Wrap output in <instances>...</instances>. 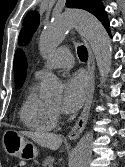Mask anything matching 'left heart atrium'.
Instances as JSON below:
<instances>
[{
  "mask_svg": "<svg viewBox=\"0 0 125 167\" xmlns=\"http://www.w3.org/2000/svg\"><path fill=\"white\" fill-rule=\"evenodd\" d=\"M88 90V81L82 73L68 76L64 83L61 108L66 113L76 112L85 101Z\"/></svg>",
  "mask_w": 125,
  "mask_h": 167,
  "instance_id": "obj_1",
  "label": "left heart atrium"
}]
</instances>
